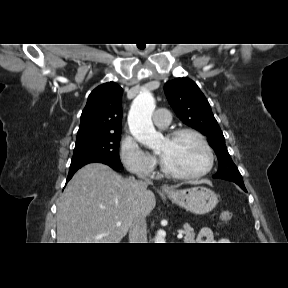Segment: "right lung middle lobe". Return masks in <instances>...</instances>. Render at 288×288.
<instances>
[{"instance_id":"obj_1","label":"right lung middle lobe","mask_w":288,"mask_h":288,"mask_svg":"<svg viewBox=\"0 0 288 288\" xmlns=\"http://www.w3.org/2000/svg\"><path fill=\"white\" fill-rule=\"evenodd\" d=\"M120 136L121 133H114L76 141L71 164L100 159L123 168L119 158Z\"/></svg>"}]
</instances>
